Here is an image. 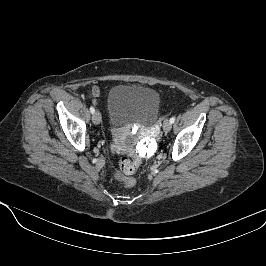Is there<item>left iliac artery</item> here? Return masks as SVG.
<instances>
[{"label":"left iliac artery","instance_id":"44dca946","mask_svg":"<svg viewBox=\"0 0 266 266\" xmlns=\"http://www.w3.org/2000/svg\"><path fill=\"white\" fill-rule=\"evenodd\" d=\"M170 122H171V123H174V122H175V117H171V118H170Z\"/></svg>","mask_w":266,"mask_h":266}]
</instances>
